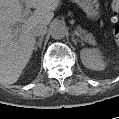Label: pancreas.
<instances>
[{
  "instance_id": "obj_1",
  "label": "pancreas",
  "mask_w": 119,
  "mask_h": 119,
  "mask_svg": "<svg viewBox=\"0 0 119 119\" xmlns=\"http://www.w3.org/2000/svg\"><path fill=\"white\" fill-rule=\"evenodd\" d=\"M80 34H82L81 36L89 43L95 45V38L91 33H87L85 30L79 29Z\"/></svg>"
}]
</instances>
